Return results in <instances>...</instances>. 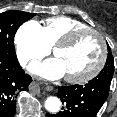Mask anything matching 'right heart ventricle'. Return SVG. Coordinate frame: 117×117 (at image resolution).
<instances>
[{
	"label": "right heart ventricle",
	"mask_w": 117,
	"mask_h": 117,
	"mask_svg": "<svg viewBox=\"0 0 117 117\" xmlns=\"http://www.w3.org/2000/svg\"><path fill=\"white\" fill-rule=\"evenodd\" d=\"M45 43L52 47L67 33L88 27L84 23L68 16H55L43 21L40 25Z\"/></svg>",
	"instance_id": "obj_1"
}]
</instances>
